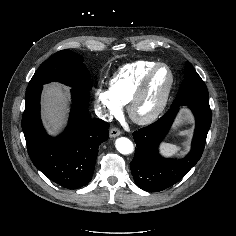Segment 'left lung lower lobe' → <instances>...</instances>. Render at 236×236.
Returning <instances> with one entry per match:
<instances>
[{"label": "left lung lower lobe", "mask_w": 236, "mask_h": 236, "mask_svg": "<svg viewBox=\"0 0 236 236\" xmlns=\"http://www.w3.org/2000/svg\"><path fill=\"white\" fill-rule=\"evenodd\" d=\"M180 106H171L158 121L133 133L136 148L130 168L135 183L145 191L159 192L172 186L181 180L202 156L212 113L210 108L198 105H188L196 120L190 153L179 160L166 159L158 153L159 143L169 131Z\"/></svg>", "instance_id": "0a47b994"}]
</instances>
